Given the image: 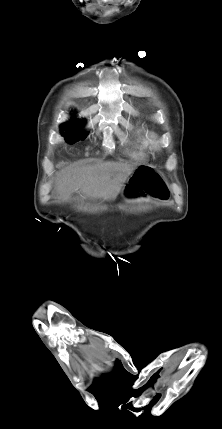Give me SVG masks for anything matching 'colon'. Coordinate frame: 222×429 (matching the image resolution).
Masks as SVG:
<instances>
[{
    "label": "colon",
    "instance_id": "obj_1",
    "mask_svg": "<svg viewBox=\"0 0 222 429\" xmlns=\"http://www.w3.org/2000/svg\"><path fill=\"white\" fill-rule=\"evenodd\" d=\"M126 192L132 197L151 196L158 199H167L169 195L161 175L148 165H141L134 171Z\"/></svg>",
    "mask_w": 222,
    "mask_h": 429
}]
</instances>
